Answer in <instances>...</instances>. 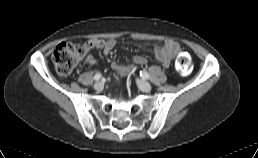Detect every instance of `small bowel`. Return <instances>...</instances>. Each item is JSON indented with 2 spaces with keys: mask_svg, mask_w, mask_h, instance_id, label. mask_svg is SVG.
<instances>
[{
  "mask_svg": "<svg viewBox=\"0 0 258 158\" xmlns=\"http://www.w3.org/2000/svg\"><path fill=\"white\" fill-rule=\"evenodd\" d=\"M90 49L94 48L97 50H101L104 55H108L111 50L114 48L116 42L114 39L107 40H90L85 43ZM180 45L174 41L173 39H166L163 42L156 43L154 46L156 59L163 65L164 67H169L171 60L173 57L179 52ZM133 61L136 64L144 65L147 63V58L144 56H136ZM90 64L95 63L94 59H88ZM130 67H120L118 68V73H126L130 70Z\"/></svg>",
  "mask_w": 258,
  "mask_h": 158,
  "instance_id": "1",
  "label": "small bowel"
}]
</instances>
